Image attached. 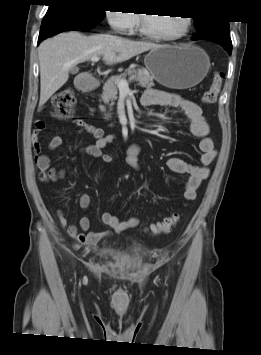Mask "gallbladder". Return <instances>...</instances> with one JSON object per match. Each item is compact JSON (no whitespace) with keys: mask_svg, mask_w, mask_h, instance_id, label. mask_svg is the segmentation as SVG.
<instances>
[{"mask_svg":"<svg viewBox=\"0 0 261 355\" xmlns=\"http://www.w3.org/2000/svg\"><path fill=\"white\" fill-rule=\"evenodd\" d=\"M79 71V68L78 67H73L72 69H71V72L72 73H77Z\"/></svg>","mask_w":261,"mask_h":355,"instance_id":"obj_1","label":"gallbladder"}]
</instances>
